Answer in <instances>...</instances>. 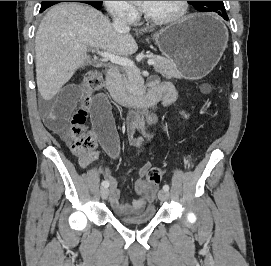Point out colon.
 I'll use <instances>...</instances> for the list:
<instances>
[{
	"label": "colon",
	"instance_id": "obj_1",
	"mask_svg": "<svg viewBox=\"0 0 271 266\" xmlns=\"http://www.w3.org/2000/svg\"><path fill=\"white\" fill-rule=\"evenodd\" d=\"M81 85L86 98L82 103L81 109L74 115L69 130L71 149L79 155L88 153L95 147V138L85 130L84 124L91 106V96L102 89V76L96 69H91L85 73ZM206 111L207 109H204V112ZM161 179L162 171L157 167H150L146 173V183L148 185H157Z\"/></svg>",
	"mask_w": 271,
	"mask_h": 266
}]
</instances>
